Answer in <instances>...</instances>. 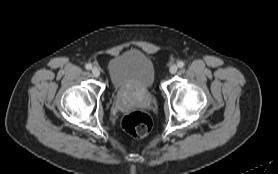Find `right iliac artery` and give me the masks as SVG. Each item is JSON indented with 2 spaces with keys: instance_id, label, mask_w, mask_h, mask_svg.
Returning <instances> with one entry per match:
<instances>
[{
  "instance_id": "82829eb1",
  "label": "right iliac artery",
  "mask_w": 278,
  "mask_h": 174,
  "mask_svg": "<svg viewBox=\"0 0 278 174\" xmlns=\"http://www.w3.org/2000/svg\"><path fill=\"white\" fill-rule=\"evenodd\" d=\"M85 68H86L87 70H90V69H92V65L88 63V64L85 65Z\"/></svg>"
}]
</instances>
